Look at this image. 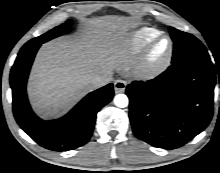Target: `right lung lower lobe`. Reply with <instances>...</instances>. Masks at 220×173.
<instances>
[{
	"label": "right lung lower lobe",
	"mask_w": 220,
	"mask_h": 173,
	"mask_svg": "<svg viewBox=\"0 0 220 173\" xmlns=\"http://www.w3.org/2000/svg\"><path fill=\"white\" fill-rule=\"evenodd\" d=\"M40 45L23 46L11 69L15 119L36 143L46 149L64 151L78 148L89 141L98 111L112 100L113 85L91 92L58 120H41L32 112L26 94L27 77Z\"/></svg>",
	"instance_id": "98d812e1"
}]
</instances>
